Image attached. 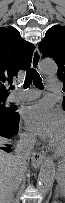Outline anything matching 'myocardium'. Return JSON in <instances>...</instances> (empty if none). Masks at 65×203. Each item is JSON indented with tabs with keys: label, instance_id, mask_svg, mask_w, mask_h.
<instances>
[{
	"label": "myocardium",
	"instance_id": "f54148a6",
	"mask_svg": "<svg viewBox=\"0 0 65 203\" xmlns=\"http://www.w3.org/2000/svg\"><path fill=\"white\" fill-rule=\"evenodd\" d=\"M51 149L57 156H64L65 155V148L63 150H60L56 148L53 144L51 145Z\"/></svg>",
	"mask_w": 65,
	"mask_h": 203
}]
</instances>
